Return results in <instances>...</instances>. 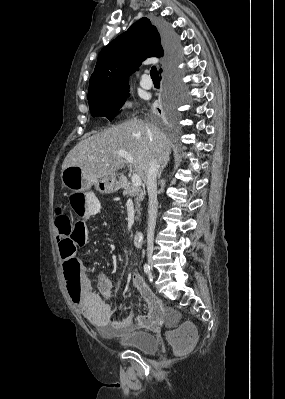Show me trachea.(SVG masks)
Segmentation results:
<instances>
[{
  "label": "trachea",
  "mask_w": 285,
  "mask_h": 399,
  "mask_svg": "<svg viewBox=\"0 0 285 399\" xmlns=\"http://www.w3.org/2000/svg\"><path fill=\"white\" fill-rule=\"evenodd\" d=\"M150 76H151L152 80H159V74H158L157 68L155 66H153L151 68Z\"/></svg>",
  "instance_id": "trachea-1"
}]
</instances>
